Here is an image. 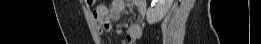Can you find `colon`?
Returning <instances> with one entry per match:
<instances>
[{
	"label": "colon",
	"mask_w": 261,
	"mask_h": 44,
	"mask_svg": "<svg viewBox=\"0 0 261 44\" xmlns=\"http://www.w3.org/2000/svg\"><path fill=\"white\" fill-rule=\"evenodd\" d=\"M89 5H90V6H95V5H96V2H95V1H90V2H89Z\"/></svg>",
	"instance_id": "5ec220e1"
}]
</instances>
